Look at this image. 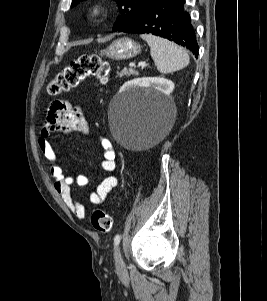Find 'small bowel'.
Instances as JSON below:
<instances>
[{"instance_id": "1", "label": "small bowel", "mask_w": 267, "mask_h": 301, "mask_svg": "<svg viewBox=\"0 0 267 301\" xmlns=\"http://www.w3.org/2000/svg\"><path fill=\"white\" fill-rule=\"evenodd\" d=\"M61 131L79 132L84 135L91 134L88 122L82 110L77 106H73L67 100L54 101L48 108L44 125L38 139V145L49 163V170L54 179L55 190L62 197L69 210L78 218L83 219L86 216V209L74 198L72 188L75 185H88L89 178L83 175L72 177L64 173L59 164L58 156L49 140L51 134ZM97 140L102 148V169L107 173H113L116 168V162L112 143L105 137H98ZM118 184L119 178L115 174L104 178L98 184L96 190L90 193V202L92 204L102 203Z\"/></svg>"}]
</instances>
